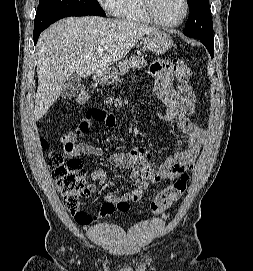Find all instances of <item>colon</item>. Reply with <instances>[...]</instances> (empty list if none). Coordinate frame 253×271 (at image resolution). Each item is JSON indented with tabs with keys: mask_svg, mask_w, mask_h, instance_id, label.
Here are the masks:
<instances>
[{
	"mask_svg": "<svg viewBox=\"0 0 253 271\" xmlns=\"http://www.w3.org/2000/svg\"><path fill=\"white\" fill-rule=\"evenodd\" d=\"M179 68L187 73L190 72L188 66L180 61ZM75 100L79 104H86L89 100V94L85 88H81L75 95ZM88 115L95 120H104L108 117V112L100 109H92ZM44 148L49 144L46 139H41ZM49 166L58 192L60 193L64 206L71 213L75 221L81 225H89L92 217L81 209L82 199L89 196L91 186L85 179V170L79 158H67L57 152H51L49 155ZM188 176H184L160 190L151 203L152 213L162 214L173 202L179 200L186 191ZM105 207L111 205L105 204ZM113 209L126 212L129 209L127 200H119Z\"/></svg>",
	"mask_w": 253,
	"mask_h": 271,
	"instance_id": "1",
	"label": "colon"
}]
</instances>
